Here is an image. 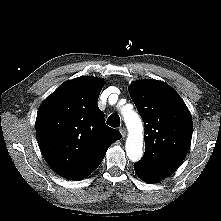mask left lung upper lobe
<instances>
[{
  "mask_svg": "<svg viewBox=\"0 0 221 221\" xmlns=\"http://www.w3.org/2000/svg\"><path fill=\"white\" fill-rule=\"evenodd\" d=\"M129 92L145 126V153L139 162L172 174L191 143L192 117L187 106L163 81L135 82Z\"/></svg>",
  "mask_w": 221,
  "mask_h": 221,
  "instance_id": "obj_1",
  "label": "left lung upper lobe"
}]
</instances>
